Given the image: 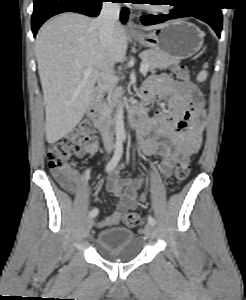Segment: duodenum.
<instances>
[{"label":"duodenum","mask_w":246,"mask_h":300,"mask_svg":"<svg viewBox=\"0 0 246 300\" xmlns=\"http://www.w3.org/2000/svg\"><path fill=\"white\" fill-rule=\"evenodd\" d=\"M101 100L102 92L100 90H96L87 105V114L95 127L99 131L104 132L107 128V119ZM146 117V106L141 102L136 103L128 114L127 124L131 129H138L146 120Z\"/></svg>","instance_id":"duodenum-1"}]
</instances>
